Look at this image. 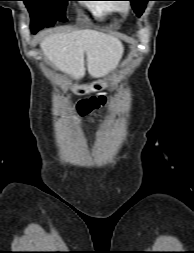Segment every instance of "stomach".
I'll return each instance as SVG.
<instances>
[{"mask_svg":"<svg viewBox=\"0 0 194 253\" xmlns=\"http://www.w3.org/2000/svg\"><path fill=\"white\" fill-rule=\"evenodd\" d=\"M107 87L105 81H96L90 85L74 86L73 91L79 95L89 93L91 91H100Z\"/></svg>","mask_w":194,"mask_h":253,"instance_id":"stomach-1","label":"stomach"}]
</instances>
